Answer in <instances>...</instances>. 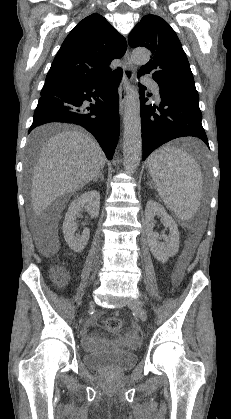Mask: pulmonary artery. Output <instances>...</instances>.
I'll use <instances>...</instances> for the list:
<instances>
[{
  "instance_id": "e3ab8cb5",
  "label": "pulmonary artery",
  "mask_w": 231,
  "mask_h": 419,
  "mask_svg": "<svg viewBox=\"0 0 231 419\" xmlns=\"http://www.w3.org/2000/svg\"><path fill=\"white\" fill-rule=\"evenodd\" d=\"M143 83L153 90L155 98L159 101L160 100V90H159L158 83L155 80L150 79V78L143 79Z\"/></svg>"
}]
</instances>
